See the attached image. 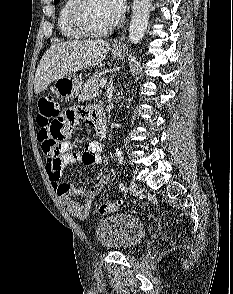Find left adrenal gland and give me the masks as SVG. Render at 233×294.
<instances>
[{
  "label": "left adrenal gland",
  "mask_w": 233,
  "mask_h": 294,
  "mask_svg": "<svg viewBox=\"0 0 233 294\" xmlns=\"http://www.w3.org/2000/svg\"><path fill=\"white\" fill-rule=\"evenodd\" d=\"M113 79H114V76L110 77L109 83H108V87H107V100L108 101L111 100V98H112V92L114 90Z\"/></svg>",
  "instance_id": "1"
}]
</instances>
